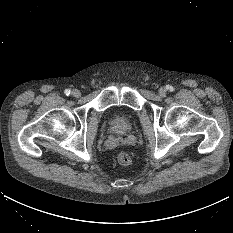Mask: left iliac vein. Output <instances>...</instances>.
I'll return each mask as SVG.
<instances>
[{
	"mask_svg": "<svg viewBox=\"0 0 233 233\" xmlns=\"http://www.w3.org/2000/svg\"><path fill=\"white\" fill-rule=\"evenodd\" d=\"M159 94H160L161 96H164V95L166 94V89H165L164 87L160 88V89H159Z\"/></svg>",
	"mask_w": 233,
	"mask_h": 233,
	"instance_id": "obj_1",
	"label": "left iliac vein"
}]
</instances>
